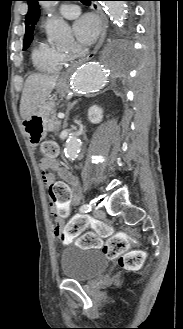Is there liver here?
I'll list each match as a JSON object with an SVG mask.
<instances>
[{
	"label": "liver",
	"instance_id": "obj_1",
	"mask_svg": "<svg viewBox=\"0 0 183 329\" xmlns=\"http://www.w3.org/2000/svg\"><path fill=\"white\" fill-rule=\"evenodd\" d=\"M57 79L56 75L39 73L32 74L26 79L20 102V115L23 120L28 119L47 99Z\"/></svg>",
	"mask_w": 183,
	"mask_h": 329
}]
</instances>
